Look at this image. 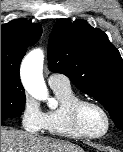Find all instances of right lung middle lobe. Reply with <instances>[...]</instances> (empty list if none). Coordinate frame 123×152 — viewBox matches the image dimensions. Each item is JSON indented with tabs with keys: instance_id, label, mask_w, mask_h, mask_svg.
<instances>
[{
	"instance_id": "1",
	"label": "right lung middle lobe",
	"mask_w": 123,
	"mask_h": 152,
	"mask_svg": "<svg viewBox=\"0 0 123 152\" xmlns=\"http://www.w3.org/2000/svg\"><path fill=\"white\" fill-rule=\"evenodd\" d=\"M25 93L17 76L1 73V121L19 117L25 107Z\"/></svg>"
}]
</instances>
